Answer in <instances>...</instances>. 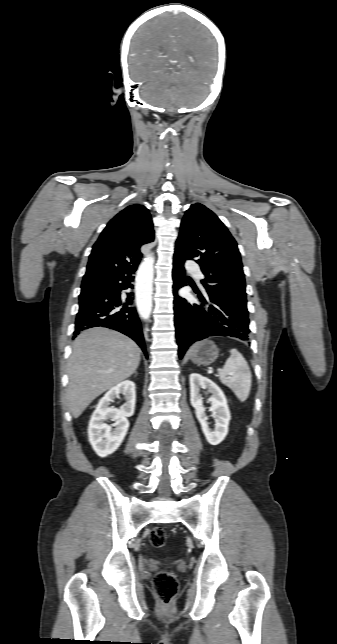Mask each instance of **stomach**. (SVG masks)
I'll use <instances>...</instances> for the list:
<instances>
[{
	"mask_svg": "<svg viewBox=\"0 0 337 644\" xmlns=\"http://www.w3.org/2000/svg\"><path fill=\"white\" fill-rule=\"evenodd\" d=\"M219 355V349L211 340L202 341L194 345L188 352V358L195 364L208 366Z\"/></svg>",
	"mask_w": 337,
	"mask_h": 644,
	"instance_id": "1",
	"label": "stomach"
}]
</instances>
